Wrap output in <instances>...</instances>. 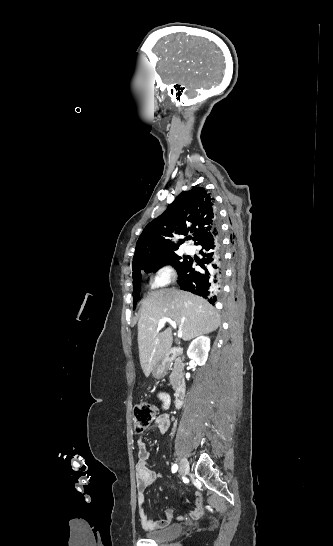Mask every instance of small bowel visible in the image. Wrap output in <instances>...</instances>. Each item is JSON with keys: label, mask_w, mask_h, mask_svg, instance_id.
<instances>
[{"label": "small bowel", "mask_w": 333, "mask_h": 546, "mask_svg": "<svg viewBox=\"0 0 333 546\" xmlns=\"http://www.w3.org/2000/svg\"><path fill=\"white\" fill-rule=\"evenodd\" d=\"M158 399L161 402V409L166 410L170 406V397L165 392L158 393ZM155 427L160 433H165L170 426V416L168 413H160L155 421ZM149 458V451L144 441H138V461L136 463V481H137V502H138V516L142 526L145 529L155 530L167 526L173 518V510L166 509L164 517L160 519H149L146 515L144 503H145V490L150 487L156 480V474L152 471L147 464ZM158 500H156L157 502ZM202 496L196 499L194 508L191 510L189 516L192 519H197L202 515ZM180 518H183L180 516Z\"/></svg>", "instance_id": "1"}]
</instances>
